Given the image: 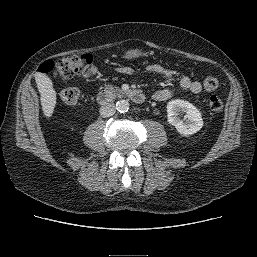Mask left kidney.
<instances>
[{"instance_id": "left-kidney-1", "label": "left kidney", "mask_w": 257, "mask_h": 257, "mask_svg": "<svg viewBox=\"0 0 257 257\" xmlns=\"http://www.w3.org/2000/svg\"><path fill=\"white\" fill-rule=\"evenodd\" d=\"M183 113H185V122L179 118ZM167 119L184 136L195 134L204 124L200 111L190 102L181 99L168 102Z\"/></svg>"}]
</instances>
